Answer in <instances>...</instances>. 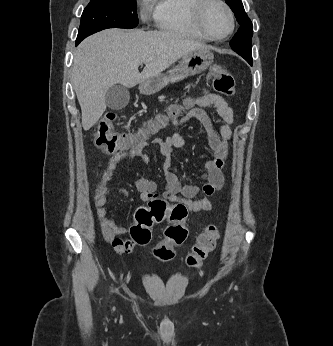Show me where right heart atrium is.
<instances>
[{"label": "right heart atrium", "mask_w": 333, "mask_h": 346, "mask_svg": "<svg viewBox=\"0 0 333 346\" xmlns=\"http://www.w3.org/2000/svg\"><path fill=\"white\" fill-rule=\"evenodd\" d=\"M151 0H142V5L145 7Z\"/></svg>", "instance_id": "1"}]
</instances>
